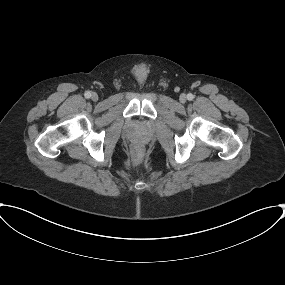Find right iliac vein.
<instances>
[{
	"instance_id": "right-iliac-vein-1",
	"label": "right iliac vein",
	"mask_w": 285,
	"mask_h": 285,
	"mask_svg": "<svg viewBox=\"0 0 285 285\" xmlns=\"http://www.w3.org/2000/svg\"><path fill=\"white\" fill-rule=\"evenodd\" d=\"M91 99H92L93 101H97V100H98V95H97L96 93H92Z\"/></svg>"
}]
</instances>
